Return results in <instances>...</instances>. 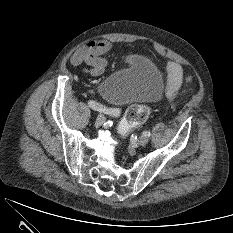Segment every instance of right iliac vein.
Listing matches in <instances>:
<instances>
[{"label": "right iliac vein", "mask_w": 233, "mask_h": 233, "mask_svg": "<svg viewBox=\"0 0 233 233\" xmlns=\"http://www.w3.org/2000/svg\"><path fill=\"white\" fill-rule=\"evenodd\" d=\"M104 121H105V117L100 114V115L97 116V118L95 120V125L100 126V125H102L104 123Z\"/></svg>", "instance_id": "obj_1"}]
</instances>
